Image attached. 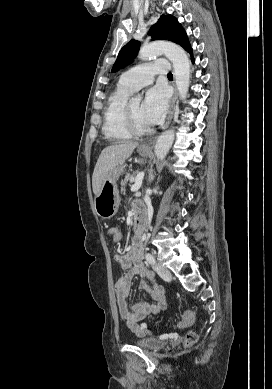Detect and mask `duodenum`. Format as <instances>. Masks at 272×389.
<instances>
[{
    "instance_id": "1",
    "label": "duodenum",
    "mask_w": 272,
    "mask_h": 389,
    "mask_svg": "<svg viewBox=\"0 0 272 389\" xmlns=\"http://www.w3.org/2000/svg\"><path fill=\"white\" fill-rule=\"evenodd\" d=\"M147 215L143 211H134V226L137 237L141 236L146 228Z\"/></svg>"
}]
</instances>
